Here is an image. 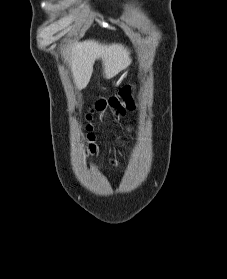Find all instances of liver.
<instances>
[{
    "instance_id": "6515ba94",
    "label": "liver",
    "mask_w": 227,
    "mask_h": 279,
    "mask_svg": "<svg viewBox=\"0 0 227 279\" xmlns=\"http://www.w3.org/2000/svg\"><path fill=\"white\" fill-rule=\"evenodd\" d=\"M96 60L102 61L106 79L114 77L131 63L130 52L122 44H102L95 40L75 42L70 49L69 64L78 89L89 83Z\"/></svg>"
}]
</instances>
